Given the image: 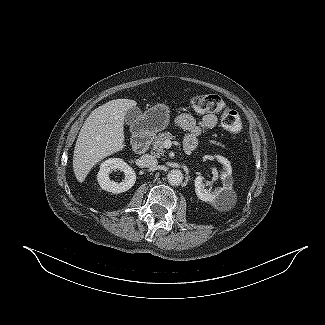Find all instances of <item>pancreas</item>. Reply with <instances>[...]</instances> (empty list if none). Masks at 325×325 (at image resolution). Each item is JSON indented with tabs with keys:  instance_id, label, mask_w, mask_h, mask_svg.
<instances>
[{
	"instance_id": "1",
	"label": "pancreas",
	"mask_w": 325,
	"mask_h": 325,
	"mask_svg": "<svg viewBox=\"0 0 325 325\" xmlns=\"http://www.w3.org/2000/svg\"><path fill=\"white\" fill-rule=\"evenodd\" d=\"M174 138H175V136H173L170 132L159 133L152 139L151 145H152L153 150L156 152V154L158 156H160V155L163 156L164 155V146H163L164 141L168 140V139L172 140Z\"/></svg>"
}]
</instances>
